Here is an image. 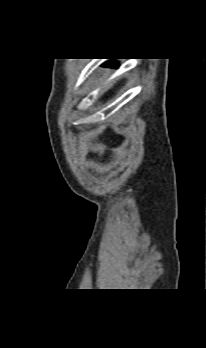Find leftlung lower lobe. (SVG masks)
<instances>
[{
  "label": "left lung lower lobe",
  "mask_w": 206,
  "mask_h": 348,
  "mask_svg": "<svg viewBox=\"0 0 206 348\" xmlns=\"http://www.w3.org/2000/svg\"><path fill=\"white\" fill-rule=\"evenodd\" d=\"M104 66L117 67V63L114 61H109L105 63Z\"/></svg>",
  "instance_id": "0a47b994"
}]
</instances>
